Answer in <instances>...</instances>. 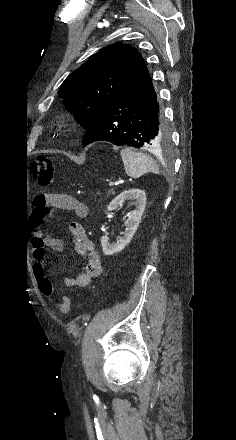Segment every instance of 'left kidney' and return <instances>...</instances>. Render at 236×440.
<instances>
[{
	"label": "left kidney",
	"mask_w": 236,
	"mask_h": 440,
	"mask_svg": "<svg viewBox=\"0 0 236 440\" xmlns=\"http://www.w3.org/2000/svg\"><path fill=\"white\" fill-rule=\"evenodd\" d=\"M126 200L134 201L135 209L127 215V220L125 221V233L122 237H118L116 242L110 243L108 237H101V246L105 255H113L123 250L125 246L130 243L141 221V217L146 205V193L140 189L123 191L114 200H112V202L108 205L107 210H116Z\"/></svg>",
	"instance_id": "left-kidney-1"
}]
</instances>
